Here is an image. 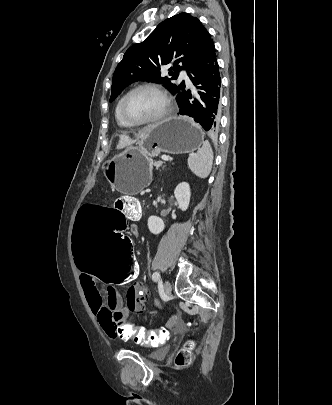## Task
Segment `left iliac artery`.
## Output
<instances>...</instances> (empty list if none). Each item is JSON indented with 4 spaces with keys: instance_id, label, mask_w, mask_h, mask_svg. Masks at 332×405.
<instances>
[{
    "instance_id": "left-iliac-artery-1",
    "label": "left iliac artery",
    "mask_w": 332,
    "mask_h": 405,
    "mask_svg": "<svg viewBox=\"0 0 332 405\" xmlns=\"http://www.w3.org/2000/svg\"><path fill=\"white\" fill-rule=\"evenodd\" d=\"M152 279L154 282H157L158 280H160V274L159 272H154L152 275Z\"/></svg>"
}]
</instances>
